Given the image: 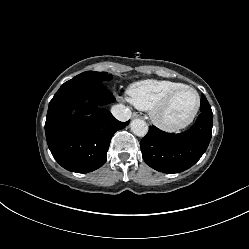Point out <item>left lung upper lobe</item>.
<instances>
[{
  "label": "left lung upper lobe",
  "instance_id": "left-lung-upper-lobe-1",
  "mask_svg": "<svg viewBox=\"0 0 249 249\" xmlns=\"http://www.w3.org/2000/svg\"><path fill=\"white\" fill-rule=\"evenodd\" d=\"M206 103L207 104H204V105L201 104V106H200L201 111H211V107H210L208 101Z\"/></svg>",
  "mask_w": 249,
  "mask_h": 249
}]
</instances>
